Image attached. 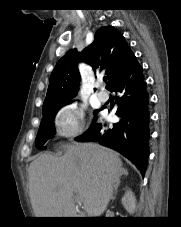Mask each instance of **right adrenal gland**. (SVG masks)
<instances>
[{"label":"right adrenal gland","instance_id":"obj_1","mask_svg":"<svg viewBox=\"0 0 181 227\" xmlns=\"http://www.w3.org/2000/svg\"><path fill=\"white\" fill-rule=\"evenodd\" d=\"M121 172H122V174H124L125 176L128 175V171H127L125 168H122V171H121ZM119 185H120V179H117L116 182H115V184H114V195H115V196H116V194H117V190H118ZM115 196L112 197L111 199L114 200V199H115Z\"/></svg>","mask_w":181,"mask_h":227}]
</instances>
